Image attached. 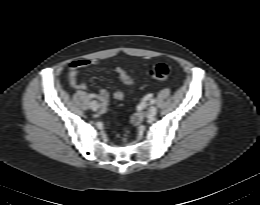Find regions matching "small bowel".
<instances>
[{
    "instance_id": "small-bowel-1",
    "label": "small bowel",
    "mask_w": 260,
    "mask_h": 205,
    "mask_svg": "<svg viewBox=\"0 0 260 205\" xmlns=\"http://www.w3.org/2000/svg\"><path fill=\"white\" fill-rule=\"evenodd\" d=\"M96 65L95 61L89 59H78L73 61L68 68V83L71 88L84 91L86 90V84L80 80L79 72L83 69H88ZM115 73L117 74L120 82L126 87V90L116 89L113 93V97L115 100H123L126 95L130 92V89L133 85V79L130 75L126 73V71L120 67L115 69ZM96 97L103 105H107L109 100V93L106 89H99L96 93Z\"/></svg>"
}]
</instances>
